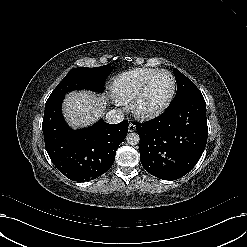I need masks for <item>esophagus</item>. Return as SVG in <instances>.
<instances>
[{"instance_id":"1","label":"esophagus","mask_w":247,"mask_h":247,"mask_svg":"<svg viewBox=\"0 0 247 247\" xmlns=\"http://www.w3.org/2000/svg\"><path fill=\"white\" fill-rule=\"evenodd\" d=\"M135 129H136V126L134 124L130 123L129 127H128L129 132H133V131H135Z\"/></svg>"}]
</instances>
